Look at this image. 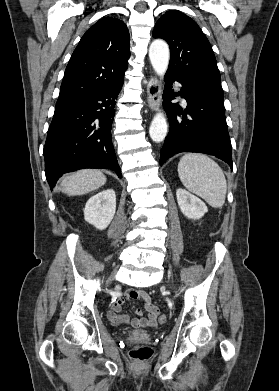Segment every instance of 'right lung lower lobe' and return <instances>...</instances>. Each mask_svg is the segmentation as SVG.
<instances>
[{"mask_svg": "<svg viewBox=\"0 0 279 391\" xmlns=\"http://www.w3.org/2000/svg\"><path fill=\"white\" fill-rule=\"evenodd\" d=\"M122 85L123 81L57 101L43 151L51 189L64 173L82 168L111 169L122 177L111 140L115 100Z\"/></svg>", "mask_w": 279, "mask_h": 391, "instance_id": "98d812e1", "label": "right lung lower lobe"}]
</instances>
